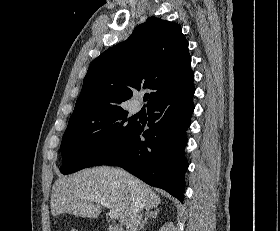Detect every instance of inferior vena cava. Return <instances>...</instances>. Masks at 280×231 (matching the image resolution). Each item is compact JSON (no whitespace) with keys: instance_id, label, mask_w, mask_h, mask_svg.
<instances>
[{"instance_id":"1","label":"inferior vena cava","mask_w":280,"mask_h":231,"mask_svg":"<svg viewBox=\"0 0 280 231\" xmlns=\"http://www.w3.org/2000/svg\"><path fill=\"white\" fill-rule=\"evenodd\" d=\"M129 185H131L132 195H131V213L130 219L126 223V231H136L137 225L140 223L142 217V201L140 197H137L136 191L138 189V181L136 179H128Z\"/></svg>"}]
</instances>
